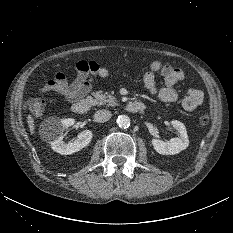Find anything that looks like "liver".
<instances>
[{
  "label": "liver",
  "instance_id": "6515ba94",
  "mask_svg": "<svg viewBox=\"0 0 233 233\" xmlns=\"http://www.w3.org/2000/svg\"><path fill=\"white\" fill-rule=\"evenodd\" d=\"M27 122H28V127H29L31 134H34L35 124H34L33 117L31 115H28Z\"/></svg>",
  "mask_w": 233,
  "mask_h": 233
}]
</instances>
